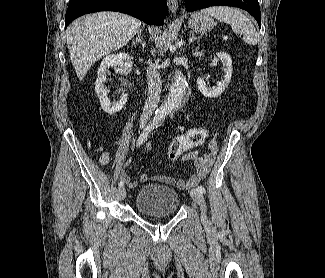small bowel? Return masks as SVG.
Listing matches in <instances>:
<instances>
[{"label":"small bowel","instance_id":"c3829d8e","mask_svg":"<svg viewBox=\"0 0 325 278\" xmlns=\"http://www.w3.org/2000/svg\"><path fill=\"white\" fill-rule=\"evenodd\" d=\"M191 129L183 133V135H189ZM202 145V144H201ZM199 145V146H201ZM197 146V147H199ZM145 148L147 150L151 149V144L146 143ZM195 148V147H194ZM218 154V145L214 139H211L207 143V151L202 152L200 150H193L186 152L182 155V161L187 163H192L195 169V173L187 180H177L169 176H159L155 177L158 180H161L167 184L182 188V187H193L197 185L202 178H204L210 171L213 166L216 156ZM109 162V153L103 152L99 158V163L101 165H106ZM130 159H127L124 166L119 171V179L122 182H125L130 188H134L137 186L138 182L130 177L129 171L127 170V165L129 164ZM150 180V176L148 174H142L139 178V182L145 183Z\"/></svg>","mask_w":325,"mask_h":278}]
</instances>
